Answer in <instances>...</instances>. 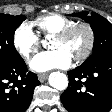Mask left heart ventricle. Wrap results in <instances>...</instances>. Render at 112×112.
I'll return each instance as SVG.
<instances>
[{
	"instance_id": "1",
	"label": "left heart ventricle",
	"mask_w": 112,
	"mask_h": 112,
	"mask_svg": "<svg viewBox=\"0 0 112 112\" xmlns=\"http://www.w3.org/2000/svg\"><path fill=\"white\" fill-rule=\"evenodd\" d=\"M87 42V32L85 29L80 28L77 29L73 34H71L67 39L61 40L54 37L51 42V48L63 49L71 56V58H75L85 50Z\"/></svg>"
}]
</instances>
